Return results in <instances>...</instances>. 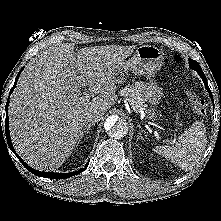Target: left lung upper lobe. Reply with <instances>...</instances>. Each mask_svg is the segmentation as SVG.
I'll return each mask as SVG.
<instances>
[{
    "label": "left lung upper lobe",
    "mask_w": 221,
    "mask_h": 221,
    "mask_svg": "<svg viewBox=\"0 0 221 221\" xmlns=\"http://www.w3.org/2000/svg\"><path fill=\"white\" fill-rule=\"evenodd\" d=\"M189 66L193 70L201 69L200 65L192 59H189Z\"/></svg>",
    "instance_id": "obj_1"
}]
</instances>
